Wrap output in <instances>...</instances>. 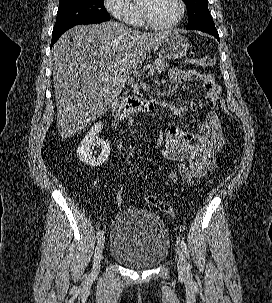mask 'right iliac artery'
<instances>
[{
    "instance_id": "1",
    "label": "right iliac artery",
    "mask_w": 272,
    "mask_h": 303,
    "mask_svg": "<svg viewBox=\"0 0 272 303\" xmlns=\"http://www.w3.org/2000/svg\"><path fill=\"white\" fill-rule=\"evenodd\" d=\"M132 153H129V156H128V158H130V155H131ZM103 234H104V232L102 231V230H99L98 232H97V238H100L101 236H103Z\"/></svg>"
}]
</instances>
